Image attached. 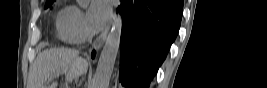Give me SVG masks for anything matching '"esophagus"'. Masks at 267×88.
I'll return each mask as SVG.
<instances>
[{
	"mask_svg": "<svg viewBox=\"0 0 267 88\" xmlns=\"http://www.w3.org/2000/svg\"><path fill=\"white\" fill-rule=\"evenodd\" d=\"M108 30H109V26L106 27L102 32L101 34L95 39V41L93 42V48L96 50V51H99L101 49V47L103 46L104 44V41L107 37V34H108Z\"/></svg>",
	"mask_w": 267,
	"mask_h": 88,
	"instance_id": "obj_1",
	"label": "esophagus"
}]
</instances>
